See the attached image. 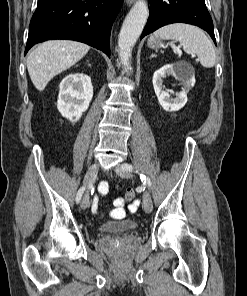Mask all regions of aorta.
Instances as JSON below:
<instances>
[{
  "label": "aorta",
  "mask_w": 247,
  "mask_h": 296,
  "mask_svg": "<svg viewBox=\"0 0 247 296\" xmlns=\"http://www.w3.org/2000/svg\"><path fill=\"white\" fill-rule=\"evenodd\" d=\"M149 15L145 0H137L127 14L118 38L119 59L126 71L131 70L130 58L132 49L147 22Z\"/></svg>",
  "instance_id": "aorta-1"
}]
</instances>
